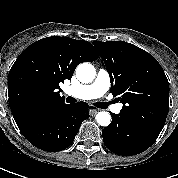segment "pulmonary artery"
<instances>
[{"instance_id":"obj_1","label":"pulmonary artery","mask_w":178,"mask_h":178,"mask_svg":"<svg viewBox=\"0 0 178 178\" xmlns=\"http://www.w3.org/2000/svg\"><path fill=\"white\" fill-rule=\"evenodd\" d=\"M111 80L108 71L104 68H100L94 81L90 84L68 86L64 89V92L72 97L81 100H91L102 97L110 88ZM106 107L114 113H119L122 109L121 104H112L106 102Z\"/></svg>"}]
</instances>
